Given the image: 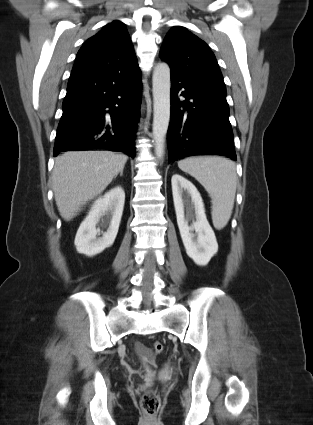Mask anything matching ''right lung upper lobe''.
Returning a JSON list of instances; mask_svg holds the SVG:
<instances>
[{"instance_id": "obj_1", "label": "right lung upper lobe", "mask_w": 313, "mask_h": 425, "mask_svg": "<svg viewBox=\"0 0 313 425\" xmlns=\"http://www.w3.org/2000/svg\"><path fill=\"white\" fill-rule=\"evenodd\" d=\"M138 66L125 24L115 20L89 38L78 51L72 71Z\"/></svg>"}]
</instances>
